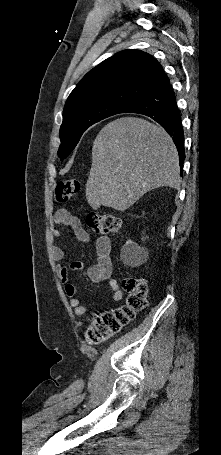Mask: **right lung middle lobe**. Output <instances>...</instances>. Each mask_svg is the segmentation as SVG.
Returning a JSON list of instances; mask_svg holds the SVG:
<instances>
[{
  "label": "right lung middle lobe",
  "mask_w": 221,
  "mask_h": 455,
  "mask_svg": "<svg viewBox=\"0 0 221 455\" xmlns=\"http://www.w3.org/2000/svg\"><path fill=\"white\" fill-rule=\"evenodd\" d=\"M125 108L113 102H98L80 106L63 114L60 128L61 145L58 156L63 160L77 145L84 131L94 123L122 113Z\"/></svg>",
  "instance_id": "1"
}]
</instances>
